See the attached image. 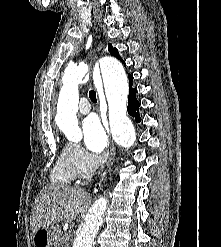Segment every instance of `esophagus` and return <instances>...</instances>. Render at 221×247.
I'll list each match as a JSON object with an SVG mask.
<instances>
[{"instance_id": "esophagus-1", "label": "esophagus", "mask_w": 221, "mask_h": 247, "mask_svg": "<svg viewBox=\"0 0 221 247\" xmlns=\"http://www.w3.org/2000/svg\"><path fill=\"white\" fill-rule=\"evenodd\" d=\"M100 104L101 107H104L105 101L101 97H100ZM103 158H105V163L102 166L101 174L105 175L111 169L115 159V146L112 139L110 140L109 151L107 154L104 155Z\"/></svg>"}]
</instances>
